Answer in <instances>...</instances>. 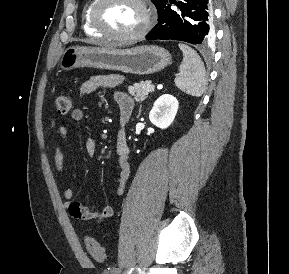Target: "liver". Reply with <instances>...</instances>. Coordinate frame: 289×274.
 Wrapping results in <instances>:
<instances>
[{
    "instance_id": "1",
    "label": "liver",
    "mask_w": 289,
    "mask_h": 274,
    "mask_svg": "<svg viewBox=\"0 0 289 274\" xmlns=\"http://www.w3.org/2000/svg\"><path fill=\"white\" fill-rule=\"evenodd\" d=\"M101 48H107V49H113V46L111 45H101Z\"/></svg>"
}]
</instances>
